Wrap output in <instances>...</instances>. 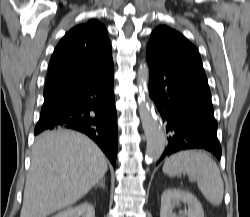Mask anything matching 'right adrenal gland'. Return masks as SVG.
Segmentation results:
<instances>
[{"mask_svg":"<svg viewBox=\"0 0 250 217\" xmlns=\"http://www.w3.org/2000/svg\"><path fill=\"white\" fill-rule=\"evenodd\" d=\"M97 186H100V187H102L103 189H105V179L102 178V179L100 180V182L97 183Z\"/></svg>","mask_w":250,"mask_h":217,"instance_id":"right-adrenal-gland-1","label":"right adrenal gland"}]
</instances>
